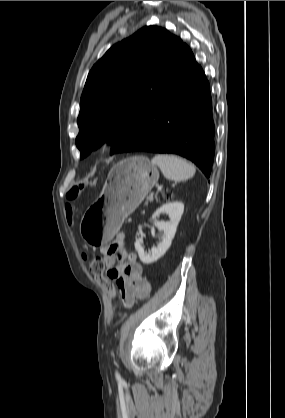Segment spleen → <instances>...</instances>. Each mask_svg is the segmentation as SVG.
I'll return each instance as SVG.
<instances>
[{"label":"spleen","instance_id":"3e777b00","mask_svg":"<svg viewBox=\"0 0 285 418\" xmlns=\"http://www.w3.org/2000/svg\"><path fill=\"white\" fill-rule=\"evenodd\" d=\"M151 162L160 168L167 179L174 181H185L196 172L193 164L175 155L157 154Z\"/></svg>","mask_w":285,"mask_h":418}]
</instances>
